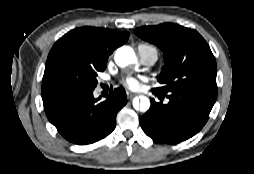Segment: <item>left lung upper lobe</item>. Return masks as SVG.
Here are the masks:
<instances>
[{"label":"left lung upper lobe","mask_w":254,"mask_h":174,"mask_svg":"<svg viewBox=\"0 0 254 174\" xmlns=\"http://www.w3.org/2000/svg\"><path fill=\"white\" fill-rule=\"evenodd\" d=\"M134 33L160 47L164 52L163 66L153 90L166 95L178 90H195L217 96L215 58L203 37L195 30L174 23L144 26Z\"/></svg>","instance_id":"5c2ea615"}]
</instances>
